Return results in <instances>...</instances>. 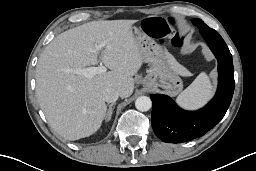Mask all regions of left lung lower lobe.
<instances>
[{"instance_id": "obj_1", "label": "left lung lower lobe", "mask_w": 256, "mask_h": 171, "mask_svg": "<svg viewBox=\"0 0 256 171\" xmlns=\"http://www.w3.org/2000/svg\"><path fill=\"white\" fill-rule=\"evenodd\" d=\"M200 33L218 60L219 82L214 98L202 109L185 111L167 95H151L152 127L162 141L181 143L203 136L224 117L235 87L231 53L217 31L200 26Z\"/></svg>"}]
</instances>
